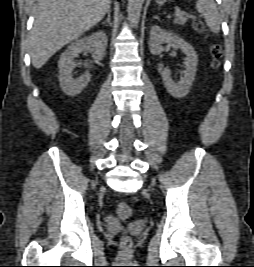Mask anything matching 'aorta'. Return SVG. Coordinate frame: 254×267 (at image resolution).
Wrapping results in <instances>:
<instances>
[{
	"label": "aorta",
	"instance_id": "762f6f07",
	"mask_svg": "<svg viewBox=\"0 0 254 267\" xmlns=\"http://www.w3.org/2000/svg\"><path fill=\"white\" fill-rule=\"evenodd\" d=\"M143 3L144 0H128V19L133 28L138 27Z\"/></svg>",
	"mask_w": 254,
	"mask_h": 267
}]
</instances>
